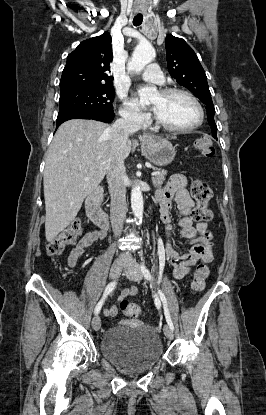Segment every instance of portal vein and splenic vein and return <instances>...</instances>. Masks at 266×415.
Listing matches in <instances>:
<instances>
[{"mask_svg":"<svg viewBox=\"0 0 266 415\" xmlns=\"http://www.w3.org/2000/svg\"><path fill=\"white\" fill-rule=\"evenodd\" d=\"M158 174H159V172H152L151 173L152 176H156ZM84 180H89V177H85Z\"/></svg>","mask_w":266,"mask_h":415,"instance_id":"obj_1","label":"portal vein and splenic vein"}]
</instances>
